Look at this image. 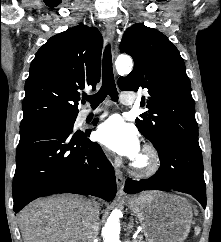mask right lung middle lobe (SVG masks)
Returning <instances> with one entry per match:
<instances>
[{
    "label": "right lung middle lobe",
    "instance_id": "1",
    "mask_svg": "<svg viewBox=\"0 0 221 242\" xmlns=\"http://www.w3.org/2000/svg\"><path fill=\"white\" fill-rule=\"evenodd\" d=\"M75 119H76V116L71 115V116L60 117V118L47 120V121L56 122V123H64V124H74Z\"/></svg>",
    "mask_w": 221,
    "mask_h": 242
}]
</instances>
